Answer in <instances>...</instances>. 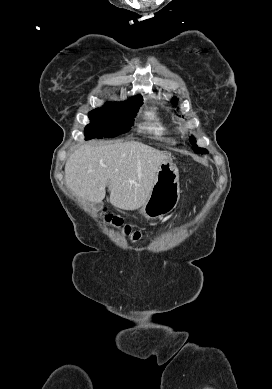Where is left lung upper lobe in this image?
Listing matches in <instances>:
<instances>
[{
	"instance_id": "left-lung-upper-lobe-1",
	"label": "left lung upper lobe",
	"mask_w": 272,
	"mask_h": 389,
	"mask_svg": "<svg viewBox=\"0 0 272 389\" xmlns=\"http://www.w3.org/2000/svg\"><path fill=\"white\" fill-rule=\"evenodd\" d=\"M172 101L175 103V105L177 104V99L173 98ZM190 142L192 143V148L193 150L196 152V153H207V150L206 149H203V148H199L197 145H196V140L194 137H190Z\"/></svg>"
}]
</instances>
